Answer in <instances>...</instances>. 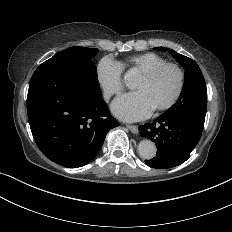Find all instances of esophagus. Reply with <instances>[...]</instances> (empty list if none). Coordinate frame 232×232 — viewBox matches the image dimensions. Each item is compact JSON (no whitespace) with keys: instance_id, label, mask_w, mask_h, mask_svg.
Segmentation results:
<instances>
[{"instance_id":"1","label":"esophagus","mask_w":232,"mask_h":232,"mask_svg":"<svg viewBox=\"0 0 232 232\" xmlns=\"http://www.w3.org/2000/svg\"><path fill=\"white\" fill-rule=\"evenodd\" d=\"M126 128H128L132 133L137 134L139 132L138 126L136 125H126Z\"/></svg>"}]
</instances>
